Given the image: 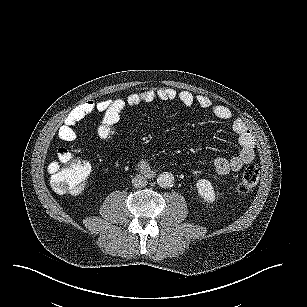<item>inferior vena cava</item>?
I'll list each match as a JSON object with an SVG mask.
<instances>
[{
  "label": "inferior vena cava",
  "mask_w": 307,
  "mask_h": 307,
  "mask_svg": "<svg viewBox=\"0 0 307 307\" xmlns=\"http://www.w3.org/2000/svg\"><path fill=\"white\" fill-rule=\"evenodd\" d=\"M132 186L135 188H144L147 185V179L140 174H136L131 179Z\"/></svg>",
  "instance_id": "1"
}]
</instances>
